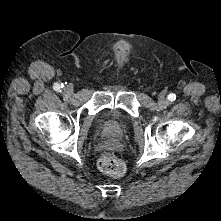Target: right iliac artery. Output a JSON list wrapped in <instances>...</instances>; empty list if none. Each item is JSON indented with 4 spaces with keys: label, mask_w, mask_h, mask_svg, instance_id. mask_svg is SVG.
Wrapping results in <instances>:
<instances>
[{
    "label": "right iliac artery",
    "mask_w": 221,
    "mask_h": 221,
    "mask_svg": "<svg viewBox=\"0 0 221 221\" xmlns=\"http://www.w3.org/2000/svg\"><path fill=\"white\" fill-rule=\"evenodd\" d=\"M60 85L59 84H55V86H54V90H56V91H60Z\"/></svg>",
    "instance_id": "82829eb1"
}]
</instances>
